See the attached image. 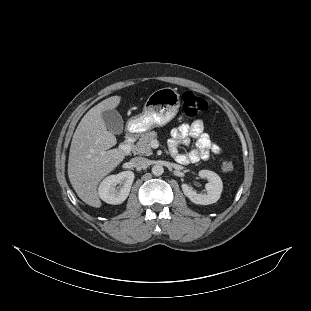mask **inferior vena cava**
<instances>
[{
    "instance_id": "inferior-vena-cava-1",
    "label": "inferior vena cava",
    "mask_w": 311,
    "mask_h": 311,
    "mask_svg": "<svg viewBox=\"0 0 311 311\" xmlns=\"http://www.w3.org/2000/svg\"><path fill=\"white\" fill-rule=\"evenodd\" d=\"M131 164L134 167L145 169L149 166V160L143 157H135L131 160Z\"/></svg>"
}]
</instances>
